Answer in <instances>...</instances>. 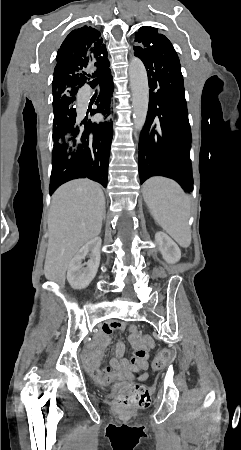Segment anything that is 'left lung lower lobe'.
<instances>
[{
    "label": "left lung lower lobe",
    "mask_w": 241,
    "mask_h": 450,
    "mask_svg": "<svg viewBox=\"0 0 241 450\" xmlns=\"http://www.w3.org/2000/svg\"><path fill=\"white\" fill-rule=\"evenodd\" d=\"M135 56L145 65L150 88L149 109L139 142L140 182L160 175L174 179L191 192V129L177 53L169 41L156 56L137 52Z\"/></svg>",
    "instance_id": "left-lung-lower-lobe-1"
}]
</instances>
